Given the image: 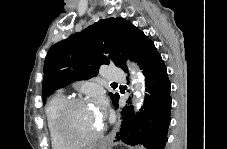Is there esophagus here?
I'll use <instances>...</instances> for the list:
<instances>
[{
  "mask_svg": "<svg viewBox=\"0 0 227 149\" xmlns=\"http://www.w3.org/2000/svg\"><path fill=\"white\" fill-rule=\"evenodd\" d=\"M121 121L119 120L113 130V132L110 134L109 137H105L104 140L101 141L102 145H109L110 142L113 141V137L116 135V133L119 131V127H120Z\"/></svg>",
  "mask_w": 227,
  "mask_h": 149,
  "instance_id": "esophagus-1",
  "label": "esophagus"
}]
</instances>
